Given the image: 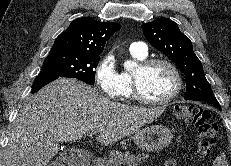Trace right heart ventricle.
I'll return each instance as SVG.
<instances>
[{"label": "right heart ventricle", "mask_w": 231, "mask_h": 166, "mask_svg": "<svg viewBox=\"0 0 231 166\" xmlns=\"http://www.w3.org/2000/svg\"><path fill=\"white\" fill-rule=\"evenodd\" d=\"M132 57L138 61H143L146 59V56H140L135 53H131ZM122 78L125 85V96L131 98L132 96V82H131V74L128 72L122 73Z\"/></svg>", "instance_id": "1"}]
</instances>
